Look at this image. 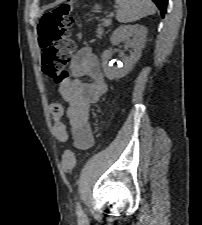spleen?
Here are the masks:
<instances>
[{
  "label": "spleen",
  "instance_id": "1",
  "mask_svg": "<svg viewBox=\"0 0 202 225\" xmlns=\"http://www.w3.org/2000/svg\"><path fill=\"white\" fill-rule=\"evenodd\" d=\"M116 4L119 7L116 19L120 23L134 22L155 14V6L151 0H116Z\"/></svg>",
  "mask_w": 202,
  "mask_h": 225
}]
</instances>
